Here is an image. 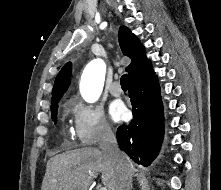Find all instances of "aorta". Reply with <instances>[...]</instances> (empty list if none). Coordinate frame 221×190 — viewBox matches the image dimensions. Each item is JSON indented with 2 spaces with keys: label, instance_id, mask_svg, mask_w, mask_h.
<instances>
[{
  "label": "aorta",
  "instance_id": "obj_1",
  "mask_svg": "<svg viewBox=\"0 0 221 190\" xmlns=\"http://www.w3.org/2000/svg\"><path fill=\"white\" fill-rule=\"evenodd\" d=\"M106 65L102 59L92 60L85 68L80 82V93L89 103L98 100L103 90Z\"/></svg>",
  "mask_w": 221,
  "mask_h": 190
}]
</instances>
